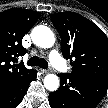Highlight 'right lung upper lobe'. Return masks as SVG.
<instances>
[{
    "instance_id": "cb5924a9",
    "label": "right lung upper lobe",
    "mask_w": 108,
    "mask_h": 108,
    "mask_svg": "<svg viewBox=\"0 0 108 108\" xmlns=\"http://www.w3.org/2000/svg\"><path fill=\"white\" fill-rule=\"evenodd\" d=\"M39 17V12L19 8L0 13V86L14 83L31 72L22 63L12 62L26 53L22 38Z\"/></svg>"
}]
</instances>
